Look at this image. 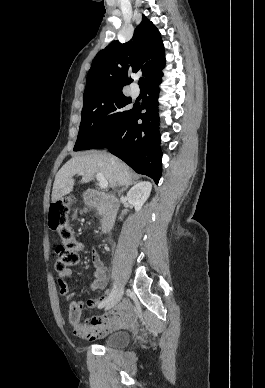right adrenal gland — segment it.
I'll return each mask as SVG.
<instances>
[{
	"label": "right adrenal gland",
	"mask_w": 265,
	"mask_h": 388,
	"mask_svg": "<svg viewBox=\"0 0 265 388\" xmlns=\"http://www.w3.org/2000/svg\"><path fill=\"white\" fill-rule=\"evenodd\" d=\"M130 186H132V184H130ZM127 188H129V186H125V188H122V190H120V194H123V192H125V190H127Z\"/></svg>",
	"instance_id": "obj_1"
}]
</instances>
